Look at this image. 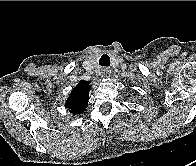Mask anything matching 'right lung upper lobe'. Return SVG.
I'll use <instances>...</instances> for the list:
<instances>
[{
	"label": "right lung upper lobe",
	"mask_w": 196,
	"mask_h": 166,
	"mask_svg": "<svg viewBox=\"0 0 196 166\" xmlns=\"http://www.w3.org/2000/svg\"><path fill=\"white\" fill-rule=\"evenodd\" d=\"M90 88V82L82 80L72 90L65 103V107L68 108L72 114L77 115L86 110Z\"/></svg>",
	"instance_id": "cb5924a9"
}]
</instances>
